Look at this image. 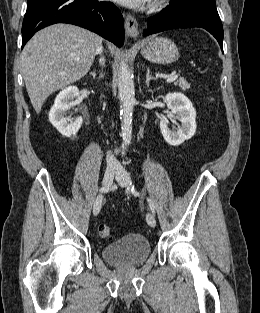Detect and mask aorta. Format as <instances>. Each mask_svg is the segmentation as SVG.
Instances as JSON below:
<instances>
[{"label": "aorta", "mask_w": 260, "mask_h": 313, "mask_svg": "<svg viewBox=\"0 0 260 313\" xmlns=\"http://www.w3.org/2000/svg\"><path fill=\"white\" fill-rule=\"evenodd\" d=\"M120 99L121 136L123 144L128 145L132 138V115L135 104L133 76L125 61H121L118 78Z\"/></svg>", "instance_id": "1"}]
</instances>
